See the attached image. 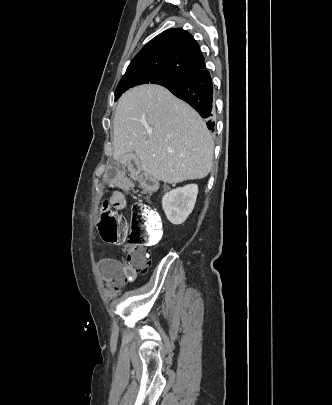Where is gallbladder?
<instances>
[{"label": "gallbladder", "mask_w": 332, "mask_h": 405, "mask_svg": "<svg viewBox=\"0 0 332 405\" xmlns=\"http://www.w3.org/2000/svg\"><path fill=\"white\" fill-rule=\"evenodd\" d=\"M129 157H131L133 160L138 161V157L135 154L129 153L127 154Z\"/></svg>", "instance_id": "gallbladder-1"}]
</instances>
